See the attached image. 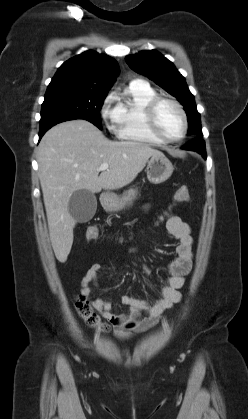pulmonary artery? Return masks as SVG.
I'll return each mask as SVG.
<instances>
[{
	"mask_svg": "<svg viewBox=\"0 0 248 419\" xmlns=\"http://www.w3.org/2000/svg\"><path fill=\"white\" fill-rule=\"evenodd\" d=\"M131 83H143L141 80H133Z\"/></svg>",
	"mask_w": 248,
	"mask_h": 419,
	"instance_id": "obj_1",
	"label": "pulmonary artery"
}]
</instances>
